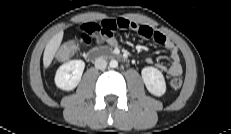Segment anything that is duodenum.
Returning a JSON list of instances; mask_svg holds the SVG:
<instances>
[{
  "instance_id": "duodenum-1",
  "label": "duodenum",
  "mask_w": 231,
  "mask_h": 134,
  "mask_svg": "<svg viewBox=\"0 0 231 134\" xmlns=\"http://www.w3.org/2000/svg\"><path fill=\"white\" fill-rule=\"evenodd\" d=\"M121 54L114 52L108 48H94L90 50L87 55L86 59L88 61H96L102 58H120Z\"/></svg>"
}]
</instances>
